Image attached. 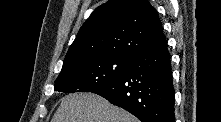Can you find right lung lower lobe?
<instances>
[{
	"instance_id": "1",
	"label": "right lung lower lobe",
	"mask_w": 221,
	"mask_h": 122,
	"mask_svg": "<svg viewBox=\"0 0 221 122\" xmlns=\"http://www.w3.org/2000/svg\"><path fill=\"white\" fill-rule=\"evenodd\" d=\"M142 122H175L174 88L166 38L136 56L110 84L93 91Z\"/></svg>"
}]
</instances>
